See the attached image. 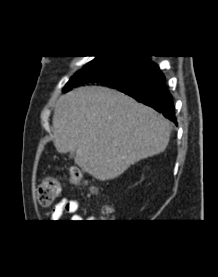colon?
Returning a JSON list of instances; mask_svg holds the SVG:
<instances>
[{
  "instance_id": "5ec220e1",
  "label": "colon",
  "mask_w": 218,
  "mask_h": 277,
  "mask_svg": "<svg viewBox=\"0 0 218 277\" xmlns=\"http://www.w3.org/2000/svg\"><path fill=\"white\" fill-rule=\"evenodd\" d=\"M67 179L77 185L82 187H88L87 183L83 180L81 172L77 168H70L68 171ZM62 190L61 181L54 176L45 177L37 186V200L42 206H49L53 204L59 197ZM90 194H95L97 192L96 188L88 187ZM104 213H110L111 208L109 206L103 207Z\"/></svg>"
}]
</instances>
